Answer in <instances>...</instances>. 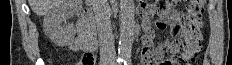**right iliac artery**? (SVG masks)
Listing matches in <instances>:
<instances>
[{
    "instance_id": "82829eb1",
    "label": "right iliac artery",
    "mask_w": 232,
    "mask_h": 65,
    "mask_svg": "<svg viewBox=\"0 0 232 65\" xmlns=\"http://www.w3.org/2000/svg\"><path fill=\"white\" fill-rule=\"evenodd\" d=\"M123 61H124V59L119 57V58L117 59L115 65H119V64H121Z\"/></svg>"
}]
</instances>
